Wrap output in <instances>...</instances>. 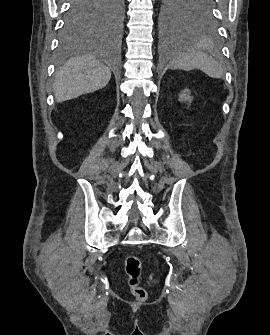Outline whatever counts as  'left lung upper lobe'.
<instances>
[{
	"mask_svg": "<svg viewBox=\"0 0 270 335\" xmlns=\"http://www.w3.org/2000/svg\"><path fill=\"white\" fill-rule=\"evenodd\" d=\"M160 14L165 31L213 33L217 28L212 0H161Z\"/></svg>",
	"mask_w": 270,
	"mask_h": 335,
	"instance_id": "obj_1",
	"label": "left lung upper lobe"
}]
</instances>
